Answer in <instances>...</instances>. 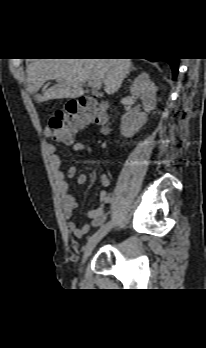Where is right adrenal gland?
Returning <instances> with one entry per match:
<instances>
[{
    "instance_id": "2a0ac1e0",
    "label": "right adrenal gland",
    "mask_w": 206,
    "mask_h": 348,
    "mask_svg": "<svg viewBox=\"0 0 206 348\" xmlns=\"http://www.w3.org/2000/svg\"><path fill=\"white\" fill-rule=\"evenodd\" d=\"M131 70H135V68L133 66H131Z\"/></svg>"
}]
</instances>
